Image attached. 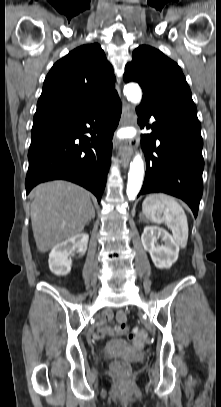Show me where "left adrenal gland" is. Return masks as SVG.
<instances>
[{
	"mask_svg": "<svg viewBox=\"0 0 221 407\" xmlns=\"http://www.w3.org/2000/svg\"><path fill=\"white\" fill-rule=\"evenodd\" d=\"M140 220H141V221H146V220L144 219V217H143V214H142V213H140Z\"/></svg>",
	"mask_w": 221,
	"mask_h": 407,
	"instance_id": "obj_1",
	"label": "left adrenal gland"
}]
</instances>
